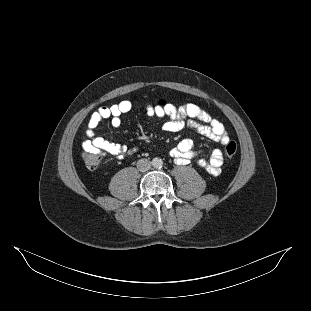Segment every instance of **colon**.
<instances>
[{
    "instance_id": "5ec220e1",
    "label": "colon",
    "mask_w": 311,
    "mask_h": 311,
    "mask_svg": "<svg viewBox=\"0 0 311 311\" xmlns=\"http://www.w3.org/2000/svg\"><path fill=\"white\" fill-rule=\"evenodd\" d=\"M161 105H166V102L161 100ZM237 151V145L234 141H230L225 146V154L228 158H233ZM84 163L89 169H96L102 160L101 153L95 150H83L82 153Z\"/></svg>"
}]
</instances>
